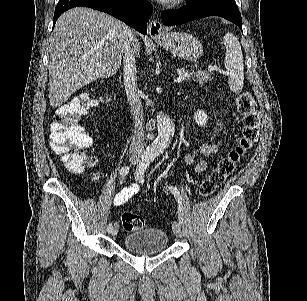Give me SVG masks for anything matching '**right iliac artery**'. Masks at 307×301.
Returning a JSON list of instances; mask_svg holds the SVG:
<instances>
[{"instance_id":"right-iliac-artery-1","label":"right iliac artery","mask_w":307,"mask_h":301,"mask_svg":"<svg viewBox=\"0 0 307 301\" xmlns=\"http://www.w3.org/2000/svg\"><path fill=\"white\" fill-rule=\"evenodd\" d=\"M145 159H146V156H142V161L145 160ZM128 172H129V167H128V166H123V167H121V169H120V174H121V175L125 176V175L128 174ZM112 229H113V225L110 223V224L108 225V227H107V231H108V232H111Z\"/></svg>"}]
</instances>
